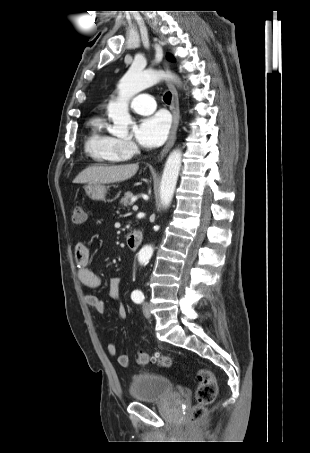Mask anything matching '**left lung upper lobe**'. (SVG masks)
Instances as JSON below:
<instances>
[{"label":"left lung upper lobe","instance_id":"obj_1","mask_svg":"<svg viewBox=\"0 0 310 453\" xmlns=\"http://www.w3.org/2000/svg\"><path fill=\"white\" fill-rule=\"evenodd\" d=\"M167 58H168L169 60H172V57H170V56H168Z\"/></svg>","mask_w":310,"mask_h":453}]
</instances>
